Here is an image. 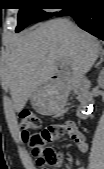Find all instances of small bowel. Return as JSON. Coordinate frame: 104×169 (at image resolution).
Wrapping results in <instances>:
<instances>
[{"label": "small bowel", "mask_w": 104, "mask_h": 169, "mask_svg": "<svg viewBox=\"0 0 104 169\" xmlns=\"http://www.w3.org/2000/svg\"><path fill=\"white\" fill-rule=\"evenodd\" d=\"M65 127L66 134H68L72 140L75 142L77 149L80 152L88 151V143L85 135L78 129L76 123L74 121H65L62 123ZM63 161V156L62 160ZM78 169H86L85 167H80Z\"/></svg>", "instance_id": "c3829d8e"}]
</instances>
